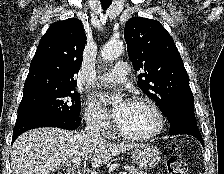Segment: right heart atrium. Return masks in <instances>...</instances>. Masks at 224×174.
Listing matches in <instances>:
<instances>
[{
	"mask_svg": "<svg viewBox=\"0 0 224 174\" xmlns=\"http://www.w3.org/2000/svg\"><path fill=\"white\" fill-rule=\"evenodd\" d=\"M85 120L87 125L94 131L107 133L110 130V124L94 101H89L85 109Z\"/></svg>",
	"mask_w": 224,
	"mask_h": 174,
	"instance_id": "obj_1",
	"label": "right heart atrium"
}]
</instances>
